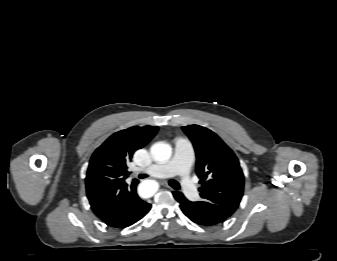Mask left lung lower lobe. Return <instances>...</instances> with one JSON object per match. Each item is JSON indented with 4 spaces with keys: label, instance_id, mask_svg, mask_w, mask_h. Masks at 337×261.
<instances>
[{
    "label": "left lung lower lobe",
    "instance_id": "obj_1",
    "mask_svg": "<svg viewBox=\"0 0 337 261\" xmlns=\"http://www.w3.org/2000/svg\"><path fill=\"white\" fill-rule=\"evenodd\" d=\"M174 198L180 203L182 212L194 223L201 226H216L224 222L220 217L208 210L200 208L194 202L188 201L180 192H173Z\"/></svg>",
    "mask_w": 337,
    "mask_h": 261
}]
</instances>
